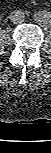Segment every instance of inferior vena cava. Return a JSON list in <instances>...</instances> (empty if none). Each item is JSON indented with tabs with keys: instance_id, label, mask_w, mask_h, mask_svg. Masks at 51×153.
I'll return each instance as SVG.
<instances>
[{
	"instance_id": "inferior-vena-cava-1",
	"label": "inferior vena cava",
	"mask_w": 51,
	"mask_h": 153,
	"mask_svg": "<svg viewBox=\"0 0 51 153\" xmlns=\"http://www.w3.org/2000/svg\"><path fill=\"white\" fill-rule=\"evenodd\" d=\"M10 20L12 23L14 24H20L23 23L25 20V14L24 12L20 11V10H14L13 12H11L10 14Z\"/></svg>"
}]
</instances>
